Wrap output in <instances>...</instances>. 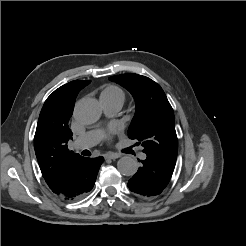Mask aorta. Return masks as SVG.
I'll return each instance as SVG.
<instances>
[{
    "label": "aorta",
    "mask_w": 246,
    "mask_h": 246,
    "mask_svg": "<svg viewBox=\"0 0 246 246\" xmlns=\"http://www.w3.org/2000/svg\"><path fill=\"white\" fill-rule=\"evenodd\" d=\"M100 115L101 109L95 99H81L75 104L73 116L81 124L95 123ZM137 168V162L131 156L121 157L117 162V169L124 176H133Z\"/></svg>",
    "instance_id": "1"
}]
</instances>
